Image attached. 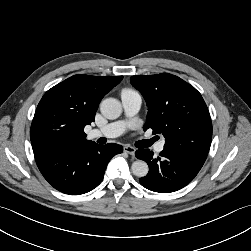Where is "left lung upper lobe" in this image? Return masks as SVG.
Here are the masks:
<instances>
[{
  "label": "left lung upper lobe",
  "mask_w": 251,
  "mask_h": 251,
  "mask_svg": "<svg viewBox=\"0 0 251 251\" xmlns=\"http://www.w3.org/2000/svg\"><path fill=\"white\" fill-rule=\"evenodd\" d=\"M130 81L148 106L144 130L163 134L164 146L209 151L212 122L206 103L193 86L168 73L131 76Z\"/></svg>",
  "instance_id": "1"
}]
</instances>
